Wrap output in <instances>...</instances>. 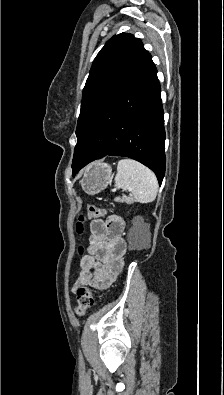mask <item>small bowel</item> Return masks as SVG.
<instances>
[{"label": "small bowel", "instance_id": "obj_1", "mask_svg": "<svg viewBox=\"0 0 224 395\" xmlns=\"http://www.w3.org/2000/svg\"><path fill=\"white\" fill-rule=\"evenodd\" d=\"M123 227V219L115 215L106 221L94 219L91 222L88 252L80 260L74 290L83 285L102 290L115 281L123 269V256L127 250Z\"/></svg>", "mask_w": 224, "mask_h": 395}]
</instances>
